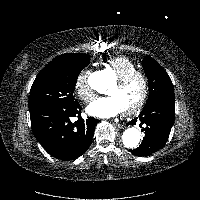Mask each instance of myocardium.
Returning a JSON list of instances; mask_svg holds the SVG:
<instances>
[{
  "label": "myocardium",
  "mask_w": 200,
  "mask_h": 200,
  "mask_svg": "<svg viewBox=\"0 0 200 200\" xmlns=\"http://www.w3.org/2000/svg\"><path fill=\"white\" fill-rule=\"evenodd\" d=\"M136 78H139L142 82V86H143L142 94L136 104L124 110L125 115H133L139 112L143 108L149 96V80H148L147 75L144 72L136 70L117 78V80L115 81V84L118 87H122L126 85L127 83H129L131 80L136 79Z\"/></svg>",
  "instance_id": "f54148a6"
}]
</instances>
